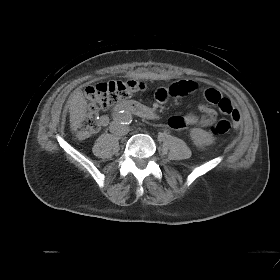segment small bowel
Returning a JSON list of instances; mask_svg holds the SVG:
<instances>
[{"label": "small bowel", "instance_id": "1", "mask_svg": "<svg viewBox=\"0 0 280 280\" xmlns=\"http://www.w3.org/2000/svg\"><path fill=\"white\" fill-rule=\"evenodd\" d=\"M197 83L192 80H179L174 82L168 87H162L156 90L155 98L159 102H165L169 98L172 97H180L190 93H193L197 89ZM215 95L218 99L226 100L229 102V109L220 107V110L225 114H230L231 111H235L239 114V112L233 107L231 102L228 99H225L221 96L220 92L216 89H207L204 93L205 99L212 104H216L214 102ZM200 114H188L185 116H173L169 119V126L178 131L190 129L193 127H208L212 126L217 120L216 111L206 104H201L199 106ZM240 117V115H239ZM107 123V117L102 116L100 118V126H104ZM92 132L90 131H80L78 133V138L80 140L88 138Z\"/></svg>", "mask_w": 280, "mask_h": 280}]
</instances>
